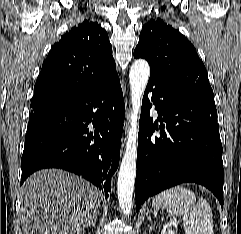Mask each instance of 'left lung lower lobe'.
Listing matches in <instances>:
<instances>
[{
  "label": "left lung lower lobe",
  "mask_w": 241,
  "mask_h": 234,
  "mask_svg": "<svg viewBox=\"0 0 241 234\" xmlns=\"http://www.w3.org/2000/svg\"><path fill=\"white\" fill-rule=\"evenodd\" d=\"M152 105L158 112L154 123ZM158 128L160 134L153 136ZM138 140L137 210L150 196L184 182L204 185L223 206V150L214 101L150 74Z\"/></svg>",
  "instance_id": "left-lung-lower-lobe-1"
}]
</instances>
